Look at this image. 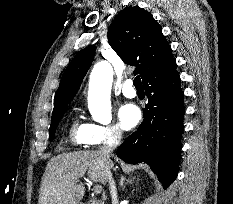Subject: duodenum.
Instances as JSON below:
<instances>
[{
    "label": "duodenum",
    "instance_id": "410a0bca",
    "mask_svg": "<svg viewBox=\"0 0 233 204\" xmlns=\"http://www.w3.org/2000/svg\"><path fill=\"white\" fill-rule=\"evenodd\" d=\"M82 204H104L101 201H92V202H87V203H82Z\"/></svg>",
    "mask_w": 233,
    "mask_h": 204
}]
</instances>
